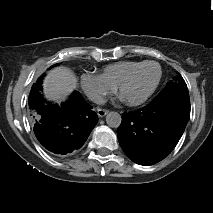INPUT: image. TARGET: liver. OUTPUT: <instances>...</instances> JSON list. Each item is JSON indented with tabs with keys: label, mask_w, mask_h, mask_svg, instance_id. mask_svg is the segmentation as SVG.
I'll return each mask as SVG.
<instances>
[{
	"label": "liver",
	"mask_w": 213,
	"mask_h": 213,
	"mask_svg": "<svg viewBox=\"0 0 213 213\" xmlns=\"http://www.w3.org/2000/svg\"><path fill=\"white\" fill-rule=\"evenodd\" d=\"M77 78L67 67H57L48 72L43 82L44 95L48 100L60 103L76 88Z\"/></svg>",
	"instance_id": "liver-1"
}]
</instances>
